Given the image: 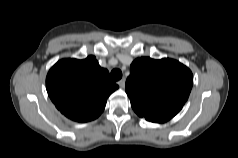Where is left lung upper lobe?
I'll list each match as a JSON object with an SVG mask.
<instances>
[{
  "mask_svg": "<svg viewBox=\"0 0 238 158\" xmlns=\"http://www.w3.org/2000/svg\"><path fill=\"white\" fill-rule=\"evenodd\" d=\"M192 85V72L180 62L141 57L130 66L126 93L137 115L163 123L182 109Z\"/></svg>",
  "mask_w": 238,
  "mask_h": 158,
  "instance_id": "obj_1",
  "label": "left lung upper lobe"
}]
</instances>
